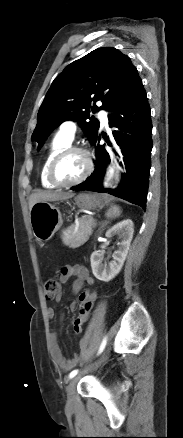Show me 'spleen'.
Returning a JSON list of instances; mask_svg holds the SVG:
<instances>
[{"label": "spleen", "mask_w": 183, "mask_h": 438, "mask_svg": "<svg viewBox=\"0 0 183 438\" xmlns=\"http://www.w3.org/2000/svg\"><path fill=\"white\" fill-rule=\"evenodd\" d=\"M121 213L119 206H112L107 212H106V216L109 218H113V217H117L119 216Z\"/></svg>", "instance_id": "3e777b00"}]
</instances>
